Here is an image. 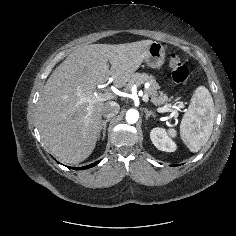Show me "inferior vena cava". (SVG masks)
<instances>
[{"label": "inferior vena cava", "instance_id": "602c4592", "mask_svg": "<svg viewBox=\"0 0 236 236\" xmlns=\"http://www.w3.org/2000/svg\"><path fill=\"white\" fill-rule=\"evenodd\" d=\"M120 106L118 103L111 101L105 103L102 109V115L106 118H111L119 113Z\"/></svg>", "mask_w": 236, "mask_h": 236}]
</instances>
